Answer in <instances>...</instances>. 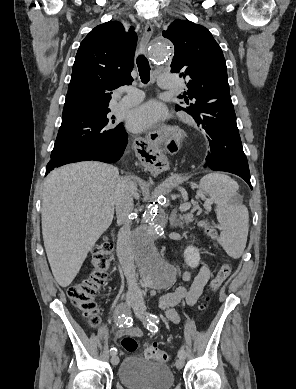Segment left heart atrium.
I'll return each mask as SVG.
<instances>
[{"instance_id":"39dd6f15","label":"left heart atrium","mask_w":296,"mask_h":389,"mask_svg":"<svg viewBox=\"0 0 296 389\" xmlns=\"http://www.w3.org/2000/svg\"><path fill=\"white\" fill-rule=\"evenodd\" d=\"M166 108L157 101L146 102L133 109L127 119L128 128L133 132H142L162 121Z\"/></svg>"}]
</instances>
